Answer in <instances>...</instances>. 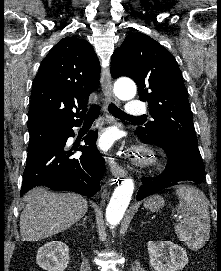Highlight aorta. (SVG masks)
<instances>
[{
  "label": "aorta",
  "instance_id": "aorta-1",
  "mask_svg": "<svg viewBox=\"0 0 221 271\" xmlns=\"http://www.w3.org/2000/svg\"><path fill=\"white\" fill-rule=\"evenodd\" d=\"M115 95L121 100H130L136 95V85L132 80H119L114 85ZM134 191V181L126 178L116 187L106 209V220L111 227L122 220Z\"/></svg>",
  "mask_w": 221,
  "mask_h": 271
}]
</instances>
